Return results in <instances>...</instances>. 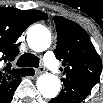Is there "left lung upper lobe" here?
Wrapping results in <instances>:
<instances>
[{"label": "left lung upper lobe", "instance_id": "left-lung-upper-lobe-1", "mask_svg": "<svg viewBox=\"0 0 103 103\" xmlns=\"http://www.w3.org/2000/svg\"><path fill=\"white\" fill-rule=\"evenodd\" d=\"M57 30L56 58L63 62L62 81L94 86L100 81L101 60L85 31L75 22L55 16ZM63 69H61L62 71Z\"/></svg>", "mask_w": 103, "mask_h": 103}]
</instances>
